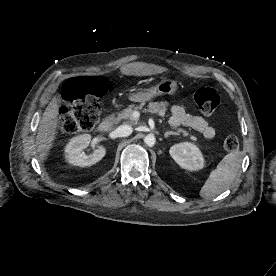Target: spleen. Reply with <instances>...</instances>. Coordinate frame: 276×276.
<instances>
[{"mask_svg": "<svg viewBox=\"0 0 276 276\" xmlns=\"http://www.w3.org/2000/svg\"><path fill=\"white\" fill-rule=\"evenodd\" d=\"M242 159L241 151H233L227 154L217 167L211 171L200 190V196L204 199H209L225 191L235 180L241 167Z\"/></svg>", "mask_w": 276, "mask_h": 276, "instance_id": "3e777b00", "label": "spleen"}]
</instances>
